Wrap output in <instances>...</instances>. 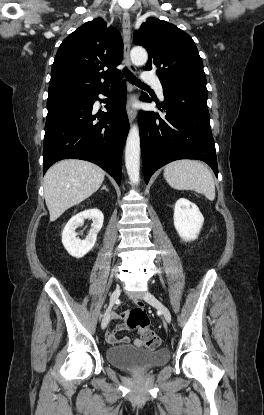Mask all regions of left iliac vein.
Segmentation results:
<instances>
[{
	"label": "left iliac vein",
	"instance_id": "4c4485c4",
	"mask_svg": "<svg viewBox=\"0 0 264 415\" xmlns=\"http://www.w3.org/2000/svg\"><path fill=\"white\" fill-rule=\"evenodd\" d=\"M144 300L148 302L149 304L157 307L162 312L164 319L167 323L171 322L172 316H171L169 309L152 293L146 292L144 294Z\"/></svg>",
	"mask_w": 264,
	"mask_h": 415
}]
</instances>
